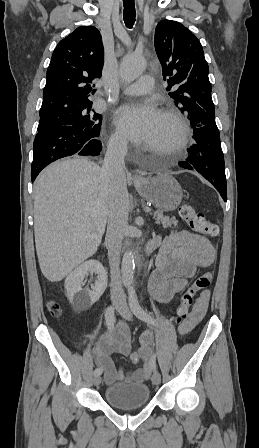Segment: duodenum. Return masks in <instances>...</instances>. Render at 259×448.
<instances>
[{
    "label": "duodenum",
    "mask_w": 259,
    "mask_h": 448,
    "mask_svg": "<svg viewBox=\"0 0 259 448\" xmlns=\"http://www.w3.org/2000/svg\"><path fill=\"white\" fill-rule=\"evenodd\" d=\"M155 248L156 245L153 242L148 243L145 247V254L149 255Z\"/></svg>",
    "instance_id": "410a0bca"
}]
</instances>
